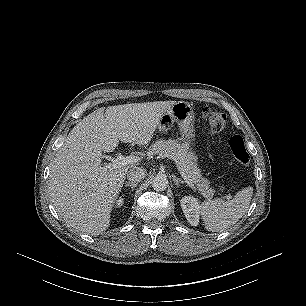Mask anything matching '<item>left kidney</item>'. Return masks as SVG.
Segmentation results:
<instances>
[{
	"label": "left kidney",
	"instance_id": "1",
	"mask_svg": "<svg viewBox=\"0 0 306 306\" xmlns=\"http://www.w3.org/2000/svg\"><path fill=\"white\" fill-rule=\"evenodd\" d=\"M181 208L183 213L192 226H197L199 223V203L192 196H185L181 199Z\"/></svg>",
	"mask_w": 306,
	"mask_h": 306
}]
</instances>
